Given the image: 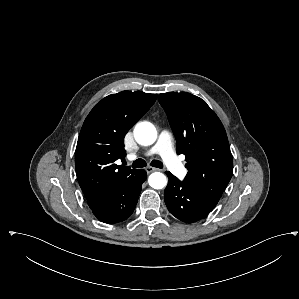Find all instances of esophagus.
Returning a JSON list of instances; mask_svg holds the SVG:
<instances>
[{"mask_svg": "<svg viewBox=\"0 0 299 299\" xmlns=\"http://www.w3.org/2000/svg\"><path fill=\"white\" fill-rule=\"evenodd\" d=\"M145 170L149 174L151 172L158 171L159 169L155 168V167L148 166V167L145 168Z\"/></svg>", "mask_w": 299, "mask_h": 299, "instance_id": "1", "label": "esophagus"}]
</instances>
